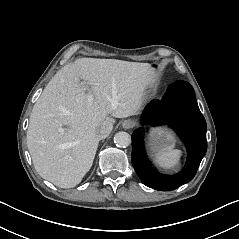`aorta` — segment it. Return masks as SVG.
Returning a JSON list of instances; mask_svg holds the SVG:
<instances>
[{"instance_id": "762f6f07", "label": "aorta", "mask_w": 239, "mask_h": 239, "mask_svg": "<svg viewBox=\"0 0 239 239\" xmlns=\"http://www.w3.org/2000/svg\"><path fill=\"white\" fill-rule=\"evenodd\" d=\"M114 142L118 147H128L131 144V136L127 132H118L114 136Z\"/></svg>"}]
</instances>
